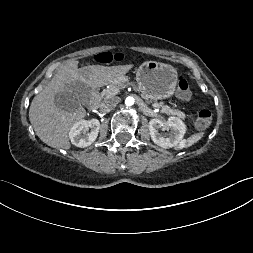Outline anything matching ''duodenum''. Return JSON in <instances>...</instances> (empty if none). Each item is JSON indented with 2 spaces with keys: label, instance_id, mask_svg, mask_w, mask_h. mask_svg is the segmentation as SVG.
Instances as JSON below:
<instances>
[{
  "label": "duodenum",
  "instance_id": "1",
  "mask_svg": "<svg viewBox=\"0 0 253 253\" xmlns=\"http://www.w3.org/2000/svg\"><path fill=\"white\" fill-rule=\"evenodd\" d=\"M100 105V95L95 89L92 90L90 101L88 104L89 111H96Z\"/></svg>",
  "mask_w": 253,
  "mask_h": 253
}]
</instances>
